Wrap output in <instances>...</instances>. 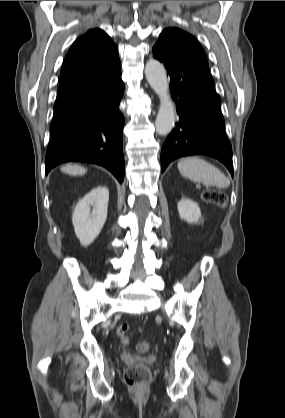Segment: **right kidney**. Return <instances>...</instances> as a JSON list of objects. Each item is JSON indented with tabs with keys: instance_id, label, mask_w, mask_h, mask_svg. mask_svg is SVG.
Returning a JSON list of instances; mask_svg holds the SVG:
<instances>
[{
	"instance_id": "right-kidney-1",
	"label": "right kidney",
	"mask_w": 285,
	"mask_h": 418,
	"mask_svg": "<svg viewBox=\"0 0 285 418\" xmlns=\"http://www.w3.org/2000/svg\"><path fill=\"white\" fill-rule=\"evenodd\" d=\"M108 201V188L99 186L76 205L72 223L81 245L88 246L98 237L107 219Z\"/></svg>"
}]
</instances>
